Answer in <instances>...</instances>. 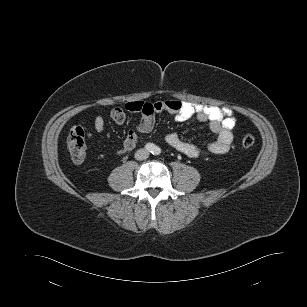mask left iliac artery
<instances>
[{
  "label": "left iliac artery",
  "mask_w": 307,
  "mask_h": 307,
  "mask_svg": "<svg viewBox=\"0 0 307 307\" xmlns=\"http://www.w3.org/2000/svg\"><path fill=\"white\" fill-rule=\"evenodd\" d=\"M160 153H161V149L159 147H155V149L153 150V154L159 155Z\"/></svg>",
  "instance_id": "1"
}]
</instances>
